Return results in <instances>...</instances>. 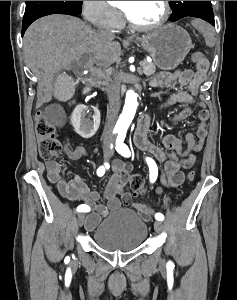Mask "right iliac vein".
<instances>
[{
    "instance_id": "right-iliac-vein-1",
    "label": "right iliac vein",
    "mask_w": 237,
    "mask_h": 300,
    "mask_svg": "<svg viewBox=\"0 0 237 300\" xmlns=\"http://www.w3.org/2000/svg\"><path fill=\"white\" fill-rule=\"evenodd\" d=\"M111 155V151L108 149L106 152H105V157L108 158L109 156ZM84 218H85V214H79L78 215V225L81 227L83 225V222H84Z\"/></svg>"
}]
</instances>
